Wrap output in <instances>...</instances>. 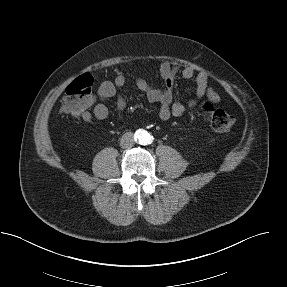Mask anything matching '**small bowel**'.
Wrapping results in <instances>:
<instances>
[{
	"mask_svg": "<svg viewBox=\"0 0 287 287\" xmlns=\"http://www.w3.org/2000/svg\"><path fill=\"white\" fill-rule=\"evenodd\" d=\"M177 76L183 79H193L196 83V92L194 98L188 101L186 105L175 101L173 98L175 80ZM159 77L163 82L161 88L151 86L145 79L138 77L135 79L136 87L145 94L150 102L159 104V117L162 120H168L172 116H180L187 109L194 107L197 102L206 96L212 102H219L218 93L209 85V77L205 72H196L191 67H181L177 63L164 62L159 67ZM126 83L124 74L119 73L114 81H104L97 89V98L105 101L116 98V105L119 110H124L126 102L123 97L118 94ZM108 107L103 102L94 105L92 111H86L81 119L86 123H91L94 119L104 120L108 117Z\"/></svg>",
	"mask_w": 287,
	"mask_h": 287,
	"instance_id": "small-bowel-1",
	"label": "small bowel"
}]
</instances>
